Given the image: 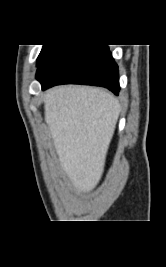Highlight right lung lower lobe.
Here are the masks:
<instances>
[{"label": "right lung lower lobe", "mask_w": 166, "mask_h": 267, "mask_svg": "<svg viewBox=\"0 0 166 267\" xmlns=\"http://www.w3.org/2000/svg\"><path fill=\"white\" fill-rule=\"evenodd\" d=\"M42 90L58 84L102 86L119 93V71L108 45H53L38 65Z\"/></svg>", "instance_id": "98d812e1"}]
</instances>
